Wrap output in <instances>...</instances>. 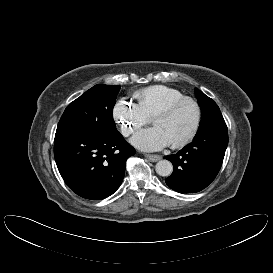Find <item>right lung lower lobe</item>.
Instances as JSON below:
<instances>
[{
    "label": "right lung lower lobe",
    "mask_w": 273,
    "mask_h": 273,
    "mask_svg": "<svg viewBox=\"0 0 273 273\" xmlns=\"http://www.w3.org/2000/svg\"><path fill=\"white\" fill-rule=\"evenodd\" d=\"M135 149L120 133L55 137L54 156L65 183L77 195L100 200L112 195L124 178L126 160Z\"/></svg>",
    "instance_id": "98d812e1"
}]
</instances>
